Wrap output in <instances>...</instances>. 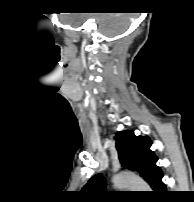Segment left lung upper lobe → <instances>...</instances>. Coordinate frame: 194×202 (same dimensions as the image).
I'll return each instance as SVG.
<instances>
[{
    "mask_svg": "<svg viewBox=\"0 0 194 202\" xmlns=\"http://www.w3.org/2000/svg\"><path fill=\"white\" fill-rule=\"evenodd\" d=\"M115 140L122 166L136 170L151 185L161 169L156 165L157 157L150 150L152 142L149 137L135 136L131 131H122L115 136ZM105 186L104 177L97 174L83 187L82 192L89 196H98L105 193Z\"/></svg>",
    "mask_w": 194,
    "mask_h": 202,
    "instance_id": "obj_1",
    "label": "left lung upper lobe"
}]
</instances>
